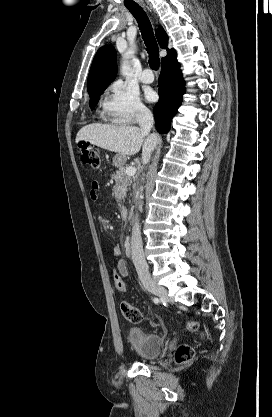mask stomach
<instances>
[{
	"label": "stomach",
	"mask_w": 272,
	"mask_h": 417,
	"mask_svg": "<svg viewBox=\"0 0 272 417\" xmlns=\"http://www.w3.org/2000/svg\"><path fill=\"white\" fill-rule=\"evenodd\" d=\"M125 162H126V157L123 154L118 153L113 157V164L116 167H123Z\"/></svg>",
	"instance_id": "stomach-1"
}]
</instances>
